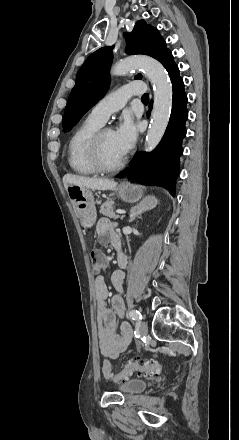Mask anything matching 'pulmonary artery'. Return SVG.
Masks as SVG:
<instances>
[{"label":"pulmonary artery","mask_w":239,"mask_h":440,"mask_svg":"<svg viewBox=\"0 0 239 440\" xmlns=\"http://www.w3.org/2000/svg\"><path fill=\"white\" fill-rule=\"evenodd\" d=\"M144 90L145 86L139 81L129 83L98 101L91 109L88 117L102 125L111 113L120 110L126 104L130 96L141 94Z\"/></svg>","instance_id":"1"}]
</instances>
